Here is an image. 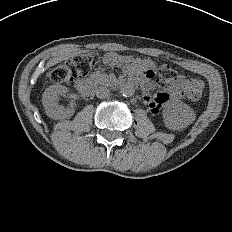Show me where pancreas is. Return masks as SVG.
Returning <instances> with one entry per match:
<instances>
[{
	"label": "pancreas",
	"mask_w": 232,
	"mask_h": 232,
	"mask_svg": "<svg viewBox=\"0 0 232 232\" xmlns=\"http://www.w3.org/2000/svg\"><path fill=\"white\" fill-rule=\"evenodd\" d=\"M104 79H105V80L107 79V78H106V75H105Z\"/></svg>",
	"instance_id": "obj_1"
}]
</instances>
